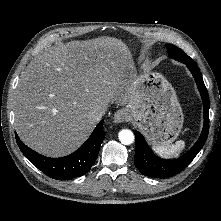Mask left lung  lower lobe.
Returning a JSON list of instances; mask_svg holds the SVG:
<instances>
[{
  "instance_id": "0a47b994",
  "label": "left lung lower lobe",
  "mask_w": 221,
  "mask_h": 221,
  "mask_svg": "<svg viewBox=\"0 0 221 221\" xmlns=\"http://www.w3.org/2000/svg\"><path fill=\"white\" fill-rule=\"evenodd\" d=\"M193 74L204 105V126L198 141L182 157L175 160H163L152 153L141 133L134 130L136 152L134 162L138 170L150 177H169L187 167L202 149L209 132V97L200 70L194 61L185 62Z\"/></svg>"
}]
</instances>
